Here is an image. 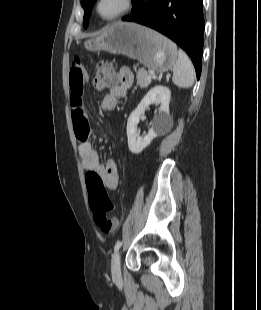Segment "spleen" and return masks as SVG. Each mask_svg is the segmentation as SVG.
Returning <instances> with one entry per match:
<instances>
[{
    "label": "spleen",
    "mask_w": 261,
    "mask_h": 310,
    "mask_svg": "<svg viewBox=\"0 0 261 310\" xmlns=\"http://www.w3.org/2000/svg\"><path fill=\"white\" fill-rule=\"evenodd\" d=\"M195 80V70L187 54L179 50L178 59L173 66V83L180 88H189Z\"/></svg>",
    "instance_id": "3e777b00"
}]
</instances>
